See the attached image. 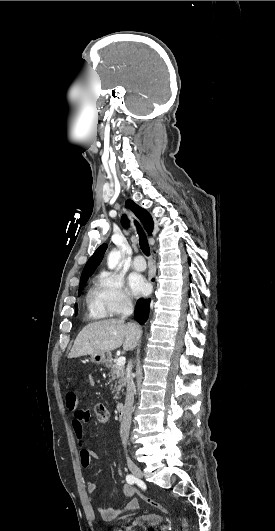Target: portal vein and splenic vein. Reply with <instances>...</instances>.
Returning a JSON list of instances; mask_svg holds the SVG:
<instances>
[{
	"label": "portal vein and splenic vein",
	"instance_id": "1",
	"mask_svg": "<svg viewBox=\"0 0 275 531\" xmlns=\"http://www.w3.org/2000/svg\"><path fill=\"white\" fill-rule=\"evenodd\" d=\"M125 363H126L125 357H119V359H117L116 365H119V367H123V365H125Z\"/></svg>",
	"mask_w": 275,
	"mask_h": 531
}]
</instances>
